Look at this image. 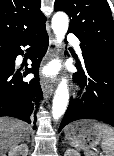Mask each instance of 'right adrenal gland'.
<instances>
[{
	"mask_svg": "<svg viewBox=\"0 0 114 156\" xmlns=\"http://www.w3.org/2000/svg\"><path fill=\"white\" fill-rule=\"evenodd\" d=\"M26 141L29 143V142H30V137H28V138L26 139Z\"/></svg>",
	"mask_w": 114,
	"mask_h": 156,
	"instance_id": "2a0ac1e0",
	"label": "right adrenal gland"
}]
</instances>
